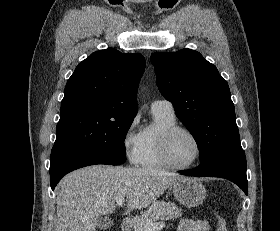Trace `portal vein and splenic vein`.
Returning <instances> with one entry per match:
<instances>
[{"label":"portal vein and splenic vein","instance_id":"1","mask_svg":"<svg viewBox=\"0 0 280 231\" xmlns=\"http://www.w3.org/2000/svg\"><path fill=\"white\" fill-rule=\"evenodd\" d=\"M118 205H122L124 203V197L120 199V201H117ZM165 223L163 221H158V223H153V221H147L145 227L146 231H155V229H162L164 227Z\"/></svg>","mask_w":280,"mask_h":231}]
</instances>
